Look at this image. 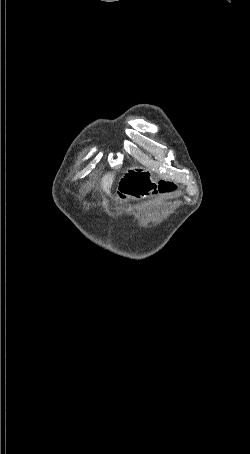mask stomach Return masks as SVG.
I'll list each match as a JSON object with an SVG mask.
<instances>
[{
  "instance_id": "0dacf381",
  "label": "stomach",
  "mask_w": 250,
  "mask_h": 454,
  "mask_svg": "<svg viewBox=\"0 0 250 454\" xmlns=\"http://www.w3.org/2000/svg\"><path fill=\"white\" fill-rule=\"evenodd\" d=\"M123 176H152V174L146 170L133 167L128 169Z\"/></svg>"
}]
</instances>
